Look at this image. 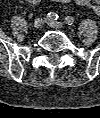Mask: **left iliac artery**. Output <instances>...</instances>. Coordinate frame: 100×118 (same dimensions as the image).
I'll return each instance as SVG.
<instances>
[{
	"label": "left iliac artery",
	"mask_w": 100,
	"mask_h": 118,
	"mask_svg": "<svg viewBox=\"0 0 100 118\" xmlns=\"http://www.w3.org/2000/svg\"><path fill=\"white\" fill-rule=\"evenodd\" d=\"M67 25H73L74 24V18L71 16H67L64 21Z\"/></svg>",
	"instance_id": "left-iliac-artery-1"
}]
</instances>
